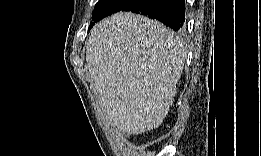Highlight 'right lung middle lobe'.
Returning a JSON list of instances; mask_svg holds the SVG:
<instances>
[{"label": "right lung middle lobe", "instance_id": "obj_1", "mask_svg": "<svg viewBox=\"0 0 261 156\" xmlns=\"http://www.w3.org/2000/svg\"><path fill=\"white\" fill-rule=\"evenodd\" d=\"M131 0H99L95 6L92 20L93 23L90 24L89 29L102 18L121 10L125 7Z\"/></svg>", "mask_w": 261, "mask_h": 156}]
</instances>
